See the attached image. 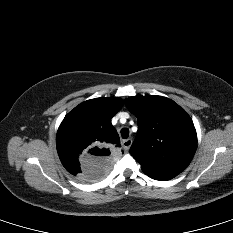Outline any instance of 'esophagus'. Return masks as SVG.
Segmentation results:
<instances>
[{"label":"esophagus","mask_w":233,"mask_h":233,"mask_svg":"<svg viewBox=\"0 0 233 233\" xmlns=\"http://www.w3.org/2000/svg\"><path fill=\"white\" fill-rule=\"evenodd\" d=\"M132 139H126L122 142V146L125 150H129L132 145Z\"/></svg>","instance_id":"esophagus-1"}]
</instances>
